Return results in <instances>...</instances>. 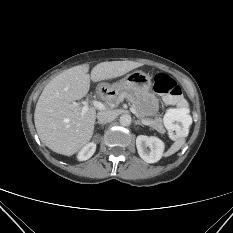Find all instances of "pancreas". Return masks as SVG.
<instances>
[{"mask_svg": "<svg viewBox=\"0 0 233 233\" xmlns=\"http://www.w3.org/2000/svg\"><path fill=\"white\" fill-rule=\"evenodd\" d=\"M123 99H126L131 104L132 108L135 109L137 115L142 120L150 121L151 122V124H150L151 127L156 129L160 133H165V128H164V126L162 124V120L161 119L153 120V119L145 118V116L139 111L136 99L131 93H129L127 91L120 92L119 95L114 98V102L118 103L119 101H121Z\"/></svg>", "mask_w": 233, "mask_h": 233, "instance_id": "cf45deb5", "label": "pancreas"}]
</instances>
